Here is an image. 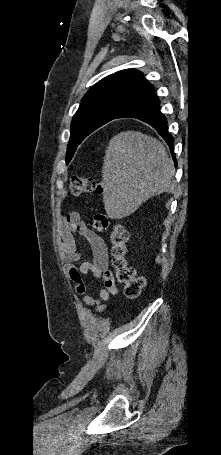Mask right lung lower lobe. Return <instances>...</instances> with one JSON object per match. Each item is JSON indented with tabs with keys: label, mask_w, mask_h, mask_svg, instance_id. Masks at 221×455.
Returning a JSON list of instances; mask_svg holds the SVG:
<instances>
[{
	"label": "right lung lower lobe",
	"mask_w": 221,
	"mask_h": 455,
	"mask_svg": "<svg viewBox=\"0 0 221 455\" xmlns=\"http://www.w3.org/2000/svg\"><path fill=\"white\" fill-rule=\"evenodd\" d=\"M159 104V98L152 93L142 101L126 109L117 118H137L151 125L167 142L170 147L173 160L175 161L173 153L174 139L168 132L167 120L160 112Z\"/></svg>",
	"instance_id": "1"
}]
</instances>
